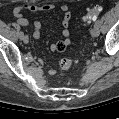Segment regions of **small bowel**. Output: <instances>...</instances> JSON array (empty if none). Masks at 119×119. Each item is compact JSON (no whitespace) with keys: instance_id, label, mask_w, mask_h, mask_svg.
<instances>
[{"instance_id":"1","label":"small bowel","mask_w":119,"mask_h":119,"mask_svg":"<svg viewBox=\"0 0 119 119\" xmlns=\"http://www.w3.org/2000/svg\"><path fill=\"white\" fill-rule=\"evenodd\" d=\"M56 7L53 3H45V4H19L14 9V16L16 17L17 23L21 26L27 27L30 25L29 21L24 18L23 13L25 11H31V12H49L52 11ZM60 10L63 14V20H62V35L65 38L64 40L54 43L51 45V50L56 52L63 51L69 44H70V22H71V12L67 5H61ZM34 32L33 37L35 40H38L40 38V32L42 24L39 20H34L32 22ZM50 75L55 74V70L51 69L49 70Z\"/></svg>"}]
</instances>
